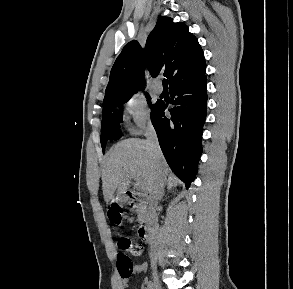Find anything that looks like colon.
Here are the masks:
<instances>
[{"mask_svg": "<svg viewBox=\"0 0 293 289\" xmlns=\"http://www.w3.org/2000/svg\"><path fill=\"white\" fill-rule=\"evenodd\" d=\"M114 220H117V215H112ZM119 248L122 252L119 254L117 262L121 277L127 278L133 272L134 266L130 256H140L143 252V247L140 243L132 240L127 236H121L118 240Z\"/></svg>", "mask_w": 293, "mask_h": 289, "instance_id": "colon-1", "label": "colon"}]
</instances>
